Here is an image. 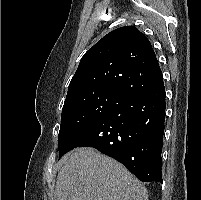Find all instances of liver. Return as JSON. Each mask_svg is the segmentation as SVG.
<instances>
[{
  "mask_svg": "<svg viewBox=\"0 0 201 200\" xmlns=\"http://www.w3.org/2000/svg\"><path fill=\"white\" fill-rule=\"evenodd\" d=\"M54 200H148V192L123 165L90 147L63 160Z\"/></svg>",
  "mask_w": 201,
  "mask_h": 200,
  "instance_id": "6515ba94",
  "label": "liver"
}]
</instances>
